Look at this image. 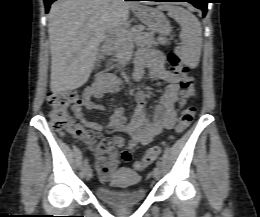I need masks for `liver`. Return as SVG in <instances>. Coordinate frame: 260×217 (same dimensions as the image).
Masks as SVG:
<instances>
[{"instance_id":"liver-1","label":"liver","mask_w":260,"mask_h":217,"mask_svg":"<svg viewBox=\"0 0 260 217\" xmlns=\"http://www.w3.org/2000/svg\"><path fill=\"white\" fill-rule=\"evenodd\" d=\"M130 4L119 0H58L51 5L48 33L51 49V91L81 87L94 68L106 33L127 22Z\"/></svg>"}]
</instances>
